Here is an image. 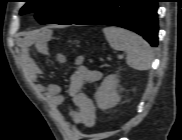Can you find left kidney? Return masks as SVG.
Segmentation results:
<instances>
[{"label":"left kidney","mask_w":182,"mask_h":140,"mask_svg":"<svg viewBox=\"0 0 182 140\" xmlns=\"http://www.w3.org/2000/svg\"><path fill=\"white\" fill-rule=\"evenodd\" d=\"M118 78L117 75H108L95 93V100L98 108L105 110L116 106L120 101L117 93Z\"/></svg>","instance_id":"obj_1"}]
</instances>
